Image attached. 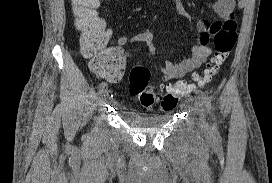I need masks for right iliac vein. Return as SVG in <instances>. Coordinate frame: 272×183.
Listing matches in <instances>:
<instances>
[{
	"label": "right iliac vein",
	"instance_id": "1",
	"mask_svg": "<svg viewBox=\"0 0 272 183\" xmlns=\"http://www.w3.org/2000/svg\"><path fill=\"white\" fill-rule=\"evenodd\" d=\"M99 94H100L101 97H105V96H107L109 94V91L107 89H105L103 91H100Z\"/></svg>",
	"mask_w": 272,
	"mask_h": 183
}]
</instances>
